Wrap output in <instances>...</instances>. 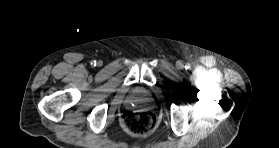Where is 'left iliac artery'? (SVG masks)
Wrapping results in <instances>:
<instances>
[{"mask_svg":"<svg viewBox=\"0 0 279 148\" xmlns=\"http://www.w3.org/2000/svg\"><path fill=\"white\" fill-rule=\"evenodd\" d=\"M189 65H190V64L188 63L185 67H188V68H189Z\"/></svg>","mask_w":279,"mask_h":148,"instance_id":"left-iliac-artery-1","label":"left iliac artery"}]
</instances>
